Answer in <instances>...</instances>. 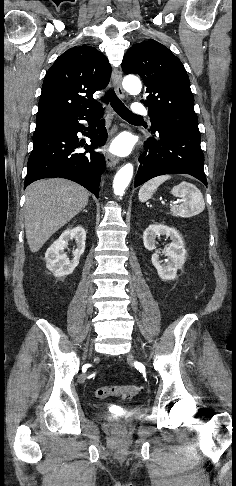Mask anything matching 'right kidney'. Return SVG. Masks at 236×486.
I'll return each mask as SVG.
<instances>
[{
	"mask_svg": "<svg viewBox=\"0 0 236 486\" xmlns=\"http://www.w3.org/2000/svg\"><path fill=\"white\" fill-rule=\"evenodd\" d=\"M75 239L76 249L73 251V259L69 260L65 248L68 241ZM86 231L81 226L65 230L59 239L54 241L45 253L46 267L55 277H63L71 274L78 266L81 255L85 250Z\"/></svg>",
	"mask_w": 236,
	"mask_h": 486,
	"instance_id": "right-kidney-1",
	"label": "right kidney"
}]
</instances>
